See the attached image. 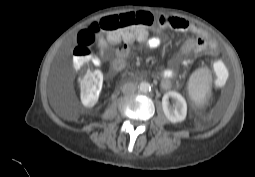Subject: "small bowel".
I'll use <instances>...</instances> for the list:
<instances>
[{"instance_id":"1","label":"small bowel","mask_w":255,"mask_h":177,"mask_svg":"<svg viewBox=\"0 0 255 177\" xmlns=\"http://www.w3.org/2000/svg\"><path fill=\"white\" fill-rule=\"evenodd\" d=\"M160 26L170 27L175 31L182 33H192L196 35L195 39L185 41L181 47L183 54L201 55L207 53L213 57L218 55V48L216 43L210 38V35L194 22L187 19L175 16H161L159 18ZM137 42L145 44L149 49H157L161 45V37L157 34H150L148 31L144 32L136 39ZM107 52L105 45H102L100 53L104 56ZM129 55L128 43H123L116 48L114 58L111 62V68L114 72L122 71L127 65V57ZM219 67H216L218 70ZM162 76L161 87L164 90H169L172 87L171 79L176 76V71L173 69H166L159 72Z\"/></svg>"}]
</instances>
